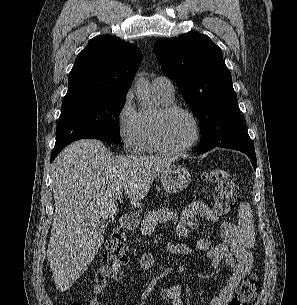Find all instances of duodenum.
Segmentation results:
<instances>
[{"label":"duodenum","mask_w":297,"mask_h":305,"mask_svg":"<svg viewBox=\"0 0 297 305\" xmlns=\"http://www.w3.org/2000/svg\"><path fill=\"white\" fill-rule=\"evenodd\" d=\"M119 223H120L121 227L126 230H132L137 225V221H136L135 217L131 214H125V215L121 216Z\"/></svg>","instance_id":"410a0bca"}]
</instances>
